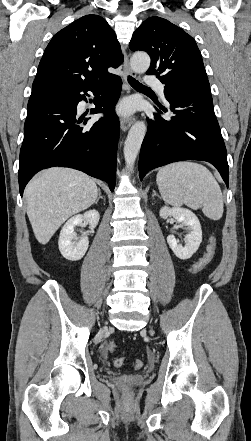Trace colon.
I'll return each mask as SVG.
<instances>
[{"label": "colon", "instance_id": "5ec220e1", "mask_svg": "<svg viewBox=\"0 0 251 441\" xmlns=\"http://www.w3.org/2000/svg\"><path fill=\"white\" fill-rule=\"evenodd\" d=\"M216 251V239L215 237H211L210 241L206 247V250L204 254L198 259V261L193 265L192 267V273H198L203 268H205L213 259ZM117 345L115 342H109L107 345V349L109 351H114L116 349ZM125 363L124 358H117L114 360V365L116 367H121ZM134 368L139 369L143 366V362L139 359L135 360L133 363Z\"/></svg>", "mask_w": 251, "mask_h": 441}]
</instances>
